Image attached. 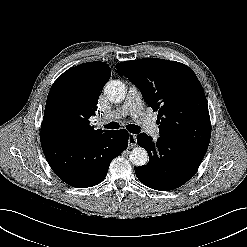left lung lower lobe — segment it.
Here are the masks:
<instances>
[{
	"instance_id": "left-lung-lower-lobe-1",
	"label": "left lung lower lobe",
	"mask_w": 247,
	"mask_h": 247,
	"mask_svg": "<svg viewBox=\"0 0 247 247\" xmlns=\"http://www.w3.org/2000/svg\"><path fill=\"white\" fill-rule=\"evenodd\" d=\"M137 143L149 153V162L136 168V176L146 186L160 191L178 188L191 179L207 150L161 136L154 141L145 133L139 134Z\"/></svg>"
}]
</instances>
